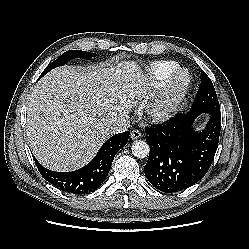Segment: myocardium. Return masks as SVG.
Listing matches in <instances>:
<instances>
[{
	"instance_id": "obj_1",
	"label": "myocardium",
	"mask_w": 249,
	"mask_h": 249,
	"mask_svg": "<svg viewBox=\"0 0 249 249\" xmlns=\"http://www.w3.org/2000/svg\"><path fill=\"white\" fill-rule=\"evenodd\" d=\"M191 84L192 77L186 68L178 67L172 71L163 81L150 106V117L156 122H162L174 115L184 102Z\"/></svg>"
}]
</instances>
